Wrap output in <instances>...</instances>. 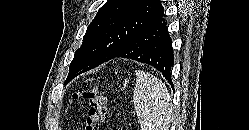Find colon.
I'll return each instance as SVG.
<instances>
[{
  "label": "colon",
  "mask_w": 249,
  "mask_h": 130,
  "mask_svg": "<svg viewBox=\"0 0 249 130\" xmlns=\"http://www.w3.org/2000/svg\"><path fill=\"white\" fill-rule=\"evenodd\" d=\"M78 96L88 101L84 130H97L104 122L107 102L106 96L96 86L75 94V97Z\"/></svg>",
  "instance_id": "1"
}]
</instances>
